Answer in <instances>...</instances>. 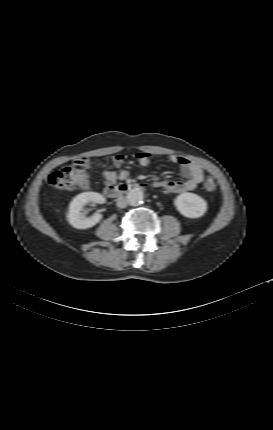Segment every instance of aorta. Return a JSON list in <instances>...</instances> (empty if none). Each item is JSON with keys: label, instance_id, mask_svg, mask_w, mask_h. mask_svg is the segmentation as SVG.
I'll return each instance as SVG.
<instances>
[{"label": "aorta", "instance_id": "aorta-1", "mask_svg": "<svg viewBox=\"0 0 273 430\" xmlns=\"http://www.w3.org/2000/svg\"><path fill=\"white\" fill-rule=\"evenodd\" d=\"M144 198V194L141 189L134 188L131 189L126 196L127 202L129 205L137 206L142 203Z\"/></svg>", "mask_w": 273, "mask_h": 430}]
</instances>
